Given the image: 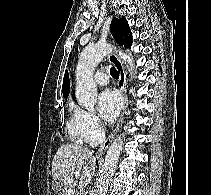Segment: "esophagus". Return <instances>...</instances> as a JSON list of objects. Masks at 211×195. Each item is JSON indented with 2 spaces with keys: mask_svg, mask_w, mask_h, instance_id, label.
<instances>
[{
  "mask_svg": "<svg viewBox=\"0 0 211 195\" xmlns=\"http://www.w3.org/2000/svg\"><path fill=\"white\" fill-rule=\"evenodd\" d=\"M109 60L116 67V69L119 72L118 86H119V89H120V91L122 93V97H123V107H122V112H121V115H120V118L118 120L116 127L114 128L112 133L108 136V138L99 147V149L96 153L97 157H103L105 155L109 145L111 144V142L113 141L114 137L116 136L120 127L123 124L125 111L128 106V97H127V91H126L127 82H126V72H125L124 66H123L122 62L120 61V59L118 58V55L116 54V52H112L109 55Z\"/></svg>",
  "mask_w": 211,
  "mask_h": 195,
  "instance_id": "obj_1",
  "label": "esophagus"
}]
</instances>
